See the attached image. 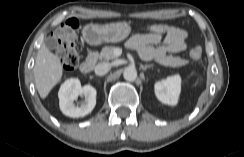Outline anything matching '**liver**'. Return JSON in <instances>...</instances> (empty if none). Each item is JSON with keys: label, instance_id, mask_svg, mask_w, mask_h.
Returning <instances> with one entry per match:
<instances>
[{"label": "liver", "instance_id": "obj_1", "mask_svg": "<svg viewBox=\"0 0 244 157\" xmlns=\"http://www.w3.org/2000/svg\"><path fill=\"white\" fill-rule=\"evenodd\" d=\"M33 73L38 93L42 99H45L63 74L62 63L58 56L45 44H42L37 53Z\"/></svg>", "mask_w": 244, "mask_h": 157}]
</instances>
